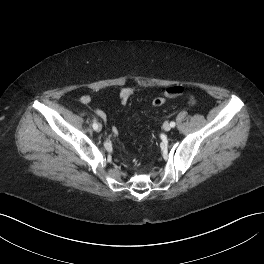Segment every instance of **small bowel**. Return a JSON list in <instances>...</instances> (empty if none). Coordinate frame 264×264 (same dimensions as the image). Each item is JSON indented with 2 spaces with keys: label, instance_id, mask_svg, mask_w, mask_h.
<instances>
[{
  "label": "small bowel",
  "instance_id": "c3829d8e",
  "mask_svg": "<svg viewBox=\"0 0 264 264\" xmlns=\"http://www.w3.org/2000/svg\"><path fill=\"white\" fill-rule=\"evenodd\" d=\"M183 91H184V89H183L182 86H180V85H173V86H170V87H168V88H166L164 90V96L166 98H175V97H178L179 95H181L183 93ZM135 93H136V89L135 88H132V87L122 88L119 91V94H118V98H119L120 104L125 105L127 103V101ZM91 101H92V97L90 95H83L80 98V102L83 105H85V106H88L91 103ZM94 113L101 120H103V121H106L107 120V114H106V112L103 109H101V108H95L94 109ZM112 129H113L114 132H117L118 131V128L117 127H113Z\"/></svg>",
  "mask_w": 264,
  "mask_h": 264
}]
</instances>
